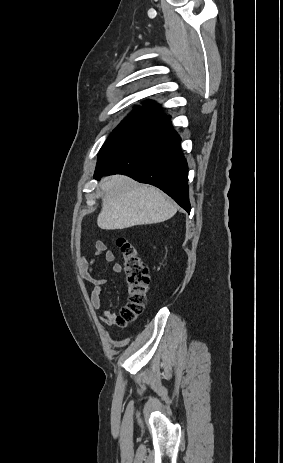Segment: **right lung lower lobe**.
Here are the masks:
<instances>
[{
  "instance_id": "1",
  "label": "right lung lower lobe",
  "mask_w": 283,
  "mask_h": 463,
  "mask_svg": "<svg viewBox=\"0 0 283 463\" xmlns=\"http://www.w3.org/2000/svg\"><path fill=\"white\" fill-rule=\"evenodd\" d=\"M116 173L160 188L190 212L187 163L169 116L162 115L99 153L94 177Z\"/></svg>"
}]
</instances>
